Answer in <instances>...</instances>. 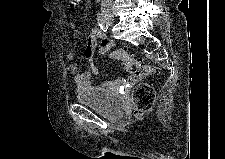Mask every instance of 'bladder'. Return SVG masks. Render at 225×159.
<instances>
[{
  "instance_id": "1",
  "label": "bladder",
  "mask_w": 225,
  "mask_h": 159,
  "mask_svg": "<svg viewBox=\"0 0 225 159\" xmlns=\"http://www.w3.org/2000/svg\"><path fill=\"white\" fill-rule=\"evenodd\" d=\"M76 99L80 104L95 109L107 118H119L124 112L122 98L99 85L78 90Z\"/></svg>"
}]
</instances>
